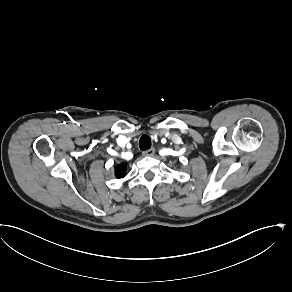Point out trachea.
<instances>
[{
  "mask_svg": "<svg viewBox=\"0 0 292 292\" xmlns=\"http://www.w3.org/2000/svg\"><path fill=\"white\" fill-rule=\"evenodd\" d=\"M152 142L148 135H142L139 140V147L141 150H148L151 148Z\"/></svg>",
  "mask_w": 292,
  "mask_h": 292,
  "instance_id": "3493384b",
  "label": "trachea"
}]
</instances>
